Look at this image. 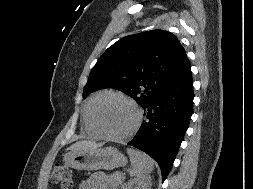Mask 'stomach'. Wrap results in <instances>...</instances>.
<instances>
[{"label": "stomach", "mask_w": 253, "mask_h": 189, "mask_svg": "<svg viewBox=\"0 0 253 189\" xmlns=\"http://www.w3.org/2000/svg\"><path fill=\"white\" fill-rule=\"evenodd\" d=\"M63 160L67 166L77 170H110L127 164V158L114 147L68 152Z\"/></svg>", "instance_id": "0dacf381"}]
</instances>
